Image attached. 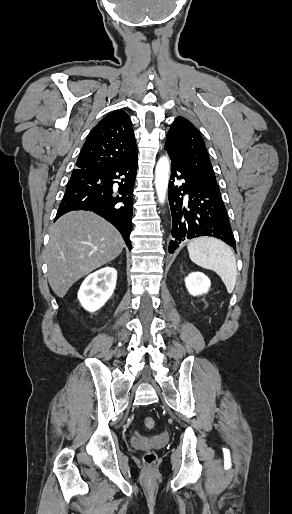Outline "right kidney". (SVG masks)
Returning <instances> with one entry per match:
<instances>
[{
    "label": "right kidney",
    "mask_w": 292,
    "mask_h": 514,
    "mask_svg": "<svg viewBox=\"0 0 292 514\" xmlns=\"http://www.w3.org/2000/svg\"><path fill=\"white\" fill-rule=\"evenodd\" d=\"M117 280L115 268H102L85 278L78 292V300L85 310L96 312L111 298Z\"/></svg>",
    "instance_id": "1"
}]
</instances>
